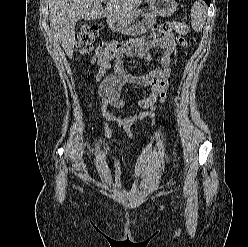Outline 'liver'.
I'll use <instances>...</instances> for the list:
<instances>
[{"label": "liver", "mask_w": 248, "mask_h": 247, "mask_svg": "<svg viewBox=\"0 0 248 247\" xmlns=\"http://www.w3.org/2000/svg\"><path fill=\"white\" fill-rule=\"evenodd\" d=\"M144 0H48L50 27L55 39L71 58L75 45V26L80 19L107 18L108 22L126 20L138 11Z\"/></svg>", "instance_id": "liver-1"}]
</instances>
